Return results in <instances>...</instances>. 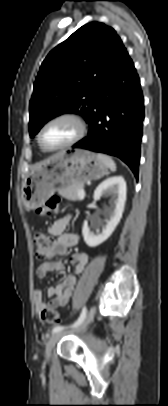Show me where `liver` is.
Here are the masks:
<instances>
[{
	"mask_svg": "<svg viewBox=\"0 0 168 406\" xmlns=\"http://www.w3.org/2000/svg\"><path fill=\"white\" fill-rule=\"evenodd\" d=\"M48 161H49V159L46 160V161H43V162H41V163H39V164H37V165L35 166V169H37L38 167H40V166H42L43 164L47 163Z\"/></svg>",
	"mask_w": 168,
	"mask_h": 406,
	"instance_id": "6515ba94",
	"label": "liver"
}]
</instances>
